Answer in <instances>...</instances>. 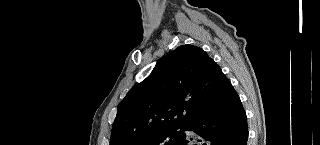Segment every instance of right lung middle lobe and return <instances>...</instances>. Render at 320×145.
Segmentation results:
<instances>
[{
  "instance_id": "obj_1",
  "label": "right lung middle lobe",
  "mask_w": 320,
  "mask_h": 145,
  "mask_svg": "<svg viewBox=\"0 0 320 145\" xmlns=\"http://www.w3.org/2000/svg\"><path fill=\"white\" fill-rule=\"evenodd\" d=\"M184 135V127H169L154 131L131 145H177Z\"/></svg>"
}]
</instances>
